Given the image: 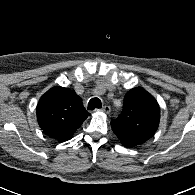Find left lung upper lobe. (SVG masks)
<instances>
[{
  "label": "left lung upper lobe",
  "instance_id": "1",
  "mask_svg": "<svg viewBox=\"0 0 195 195\" xmlns=\"http://www.w3.org/2000/svg\"><path fill=\"white\" fill-rule=\"evenodd\" d=\"M160 120L155 98L144 89H131L124 98L123 111L111 127L123 146L134 147L154 136Z\"/></svg>",
  "mask_w": 195,
  "mask_h": 195
}]
</instances>
